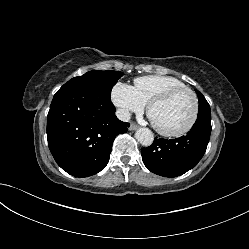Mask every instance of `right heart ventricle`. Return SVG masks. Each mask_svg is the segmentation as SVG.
<instances>
[{"label":"right heart ventricle","mask_w":249,"mask_h":249,"mask_svg":"<svg viewBox=\"0 0 249 249\" xmlns=\"http://www.w3.org/2000/svg\"><path fill=\"white\" fill-rule=\"evenodd\" d=\"M185 86L181 80L165 75H147L134 80V89L145 104L170 89Z\"/></svg>","instance_id":"right-heart-ventricle-1"}]
</instances>
